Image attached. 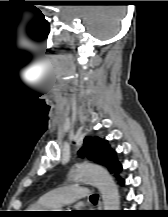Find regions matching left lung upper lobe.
Returning <instances> with one entry per match:
<instances>
[{
	"label": "left lung upper lobe",
	"mask_w": 168,
	"mask_h": 217,
	"mask_svg": "<svg viewBox=\"0 0 168 217\" xmlns=\"http://www.w3.org/2000/svg\"><path fill=\"white\" fill-rule=\"evenodd\" d=\"M78 154L108 167V169L110 171L113 170L116 175L122 170L121 164L117 161L116 153L110 148L106 141L98 137H86Z\"/></svg>",
	"instance_id": "left-lung-upper-lobe-1"
}]
</instances>
